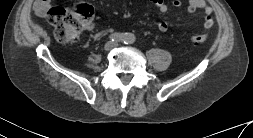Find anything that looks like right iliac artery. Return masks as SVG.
<instances>
[{
  "mask_svg": "<svg viewBox=\"0 0 253 138\" xmlns=\"http://www.w3.org/2000/svg\"><path fill=\"white\" fill-rule=\"evenodd\" d=\"M111 41H121L124 38V35L122 33H113L109 36Z\"/></svg>",
  "mask_w": 253,
  "mask_h": 138,
  "instance_id": "obj_1",
  "label": "right iliac artery"
}]
</instances>
